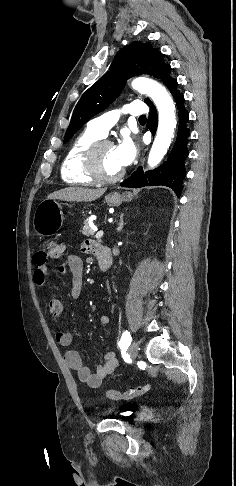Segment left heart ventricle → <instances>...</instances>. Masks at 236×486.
I'll list each match as a JSON object with an SVG mask.
<instances>
[{
    "mask_svg": "<svg viewBox=\"0 0 236 486\" xmlns=\"http://www.w3.org/2000/svg\"><path fill=\"white\" fill-rule=\"evenodd\" d=\"M100 166L107 176H114L122 171L115 154L114 146H105L100 152Z\"/></svg>",
    "mask_w": 236,
    "mask_h": 486,
    "instance_id": "obj_1",
    "label": "left heart ventricle"
}]
</instances>
